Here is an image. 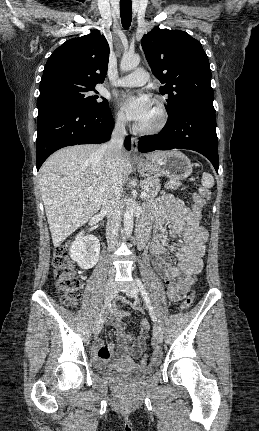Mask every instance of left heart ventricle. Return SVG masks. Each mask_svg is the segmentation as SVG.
Instances as JSON below:
<instances>
[{"label":"left heart ventricle","instance_id":"b2bd125f","mask_svg":"<svg viewBox=\"0 0 259 431\" xmlns=\"http://www.w3.org/2000/svg\"><path fill=\"white\" fill-rule=\"evenodd\" d=\"M157 121V112L155 110V107L152 106L151 112L149 114V116L143 121L141 122L139 125L142 127H150L152 125H154Z\"/></svg>","mask_w":259,"mask_h":431}]
</instances>
